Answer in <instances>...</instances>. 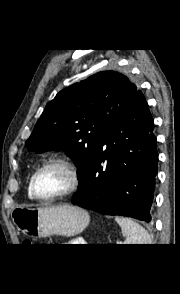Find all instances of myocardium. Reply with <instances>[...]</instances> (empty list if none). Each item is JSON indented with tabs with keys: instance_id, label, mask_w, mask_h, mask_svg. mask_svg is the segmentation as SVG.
<instances>
[{
	"instance_id": "1",
	"label": "myocardium",
	"mask_w": 180,
	"mask_h": 294,
	"mask_svg": "<svg viewBox=\"0 0 180 294\" xmlns=\"http://www.w3.org/2000/svg\"><path fill=\"white\" fill-rule=\"evenodd\" d=\"M50 167H60L68 174L69 182L67 187L54 195L41 196L36 189V180L41 172ZM80 185V176L76 165L68 158L58 157L46 161L40 168H38L31 177L30 191L31 194L40 201H54L74 193Z\"/></svg>"
}]
</instances>
